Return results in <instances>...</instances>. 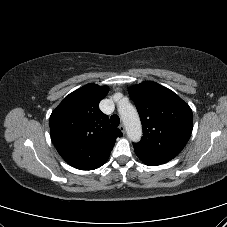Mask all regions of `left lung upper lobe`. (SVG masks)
<instances>
[{
    "label": "left lung upper lobe",
    "instance_id": "left-lung-upper-lobe-1",
    "mask_svg": "<svg viewBox=\"0 0 227 227\" xmlns=\"http://www.w3.org/2000/svg\"><path fill=\"white\" fill-rule=\"evenodd\" d=\"M129 95L140 115L143 136L134 150L144 158L171 160L192 132L191 108L170 89L152 81L131 86Z\"/></svg>",
    "mask_w": 227,
    "mask_h": 227
}]
</instances>
